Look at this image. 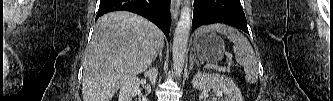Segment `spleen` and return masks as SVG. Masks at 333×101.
Masks as SVG:
<instances>
[{"label":"spleen","instance_id":"obj_1","mask_svg":"<svg viewBox=\"0 0 333 101\" xmlns=\"http://www.w3.org/2000/svg\"><path fill=\"white\" fill-rule=\"evenodd\" d=\"M217 32L229 38L234 46L236 61L244 67L245 78L248 83L254 84L258 80V67L255 53L248 39L236 29L224 24H213L201 27L196 33Z\"/></svg>","mask_w":333,"mask_h":101}]
</instances>
